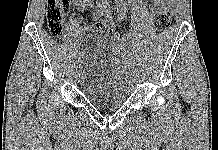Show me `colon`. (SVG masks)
<instances>
[{"instance_id":"5ec220e1","label":"colon","mask_w":218,"mask_h":150,"mask_svg":"<svg viewBox=\"0 0 218 150\" xmlns=\"http://www.w3.org/2000/svg\"><path fill=\"white\" fill-rule=\"evenodd\" d=\"M70 0H48L47 2V21L48 29L51 35L60 36L63 27V21L70 9ZM171 13L166 7L160 9L155 18V27L158 31L166 29L170 25ZM96 28L104 33L113 34L118 38L119 34L115 25L110 21H100L96 23Z\"/></svg>"}]
</instances>
